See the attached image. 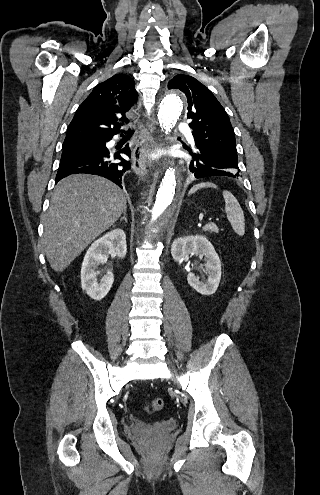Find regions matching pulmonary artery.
I'll list each match as a JSON object with an SVG mask.
<instances>
[{"instance_id": "obj_1", "label": "pulmonary artery", "mask_w": 320, "mask_h": 495, "mask_svg": "<svg viewBox=\"0 0 320 495\" xmlns=\"http://www.w3.org/2000/svg\"><path fill=\"white\" fill-rule=\"evenodd\" d=\"M179 127H180V128H183V127H184V124H181ZM188 139H189V141H191V142H193V141H194V138H193V136H192L191 134H189V135H188Z\"/></svg>"}]
</instances>
